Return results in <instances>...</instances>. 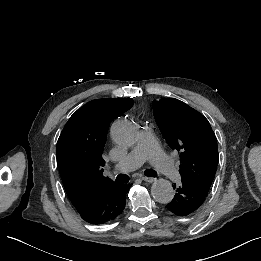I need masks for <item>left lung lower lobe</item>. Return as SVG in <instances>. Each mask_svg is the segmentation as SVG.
Returning <instances> with one entry per match:
<instances>
[{"label": "left lung lower lobe", "instance_id": "1", "mask_svg": "<svg viewBox=\"0 0 261 261\" xmlns=\"http://www.w3.org/2000/svg\"><path fill=\"white\" fill-rule=\"evenodd\" d=\"M174 199L166 208L174 215L186 216L197 210L205 201L208 190L190 181L182 180L180 186L173 185Z\"/></svg>", "mask_w": 261, "mask_h": 261}]
</instances>
